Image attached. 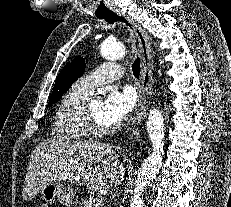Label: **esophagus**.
<instances>
[{
  "label": "esophagus",
  "mask_w": 231,
  "mask_h": 207,
  "mask_svg": "<svg viewBox=\"0 0 231 207\" xmlns=\"http://www.w3.org/2000/svg\"><path fill=\"white\" fill-rule=\"evenodd\" d=\"M116 14L126 19L133 27L135 35L139 42L141 64V85L139 87V102L135 108L134 116L131 119L130 137L136 133L140 122L143 119L144 108L146 104V95L150 90L153 82V56L151 53V44L146 31L132 17L121 10H117Z\"/></svg>",
  "instance_id": "1"
}]
</instances>
